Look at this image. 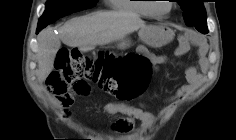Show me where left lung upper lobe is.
Wrapping results in <instances>:
<instances>
[{
  "label": "left lung upper lobe",
  "instance_id": "5c2ea615",
  "mask_svg": "<svg viewBox=\"0 0 236 140\" xmlns=\"http://www.w3.org/2000/svg\"><path fill=\"white\" fill-rule=\"evenodd\" d=\"M176 2L184 11L183 17L187 26H194L203 34L208 33L203 0H176Z\"/></svg>",
  "mask_w": 236,
  "mask_h": 140
}]
</instances>
